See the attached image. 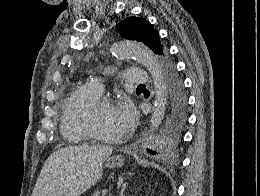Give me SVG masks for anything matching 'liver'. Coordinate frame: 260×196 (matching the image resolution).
<instances>
[{"label": "liver", "mask_w": 260, "mask_h": 196, "mask_svg": "<svg viewBox=\"0 0 260 196\" xmlns=\"http://www.w3.org/2000/svg\"><path fill=\"white\" fill-rule=\"evenodd\" d=\"M111 146H69L47 158L31 196H81L103 176Z\"/></svg>", "instance_id": "6515ba94"}]
</instances>
